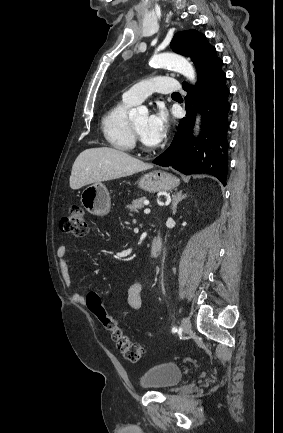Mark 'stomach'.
I'll use <instances>...</instances> for the list:
<instances>
[{
  "instance_id": "0dacf381",
  "label": "stomach",
  "mask_w": 283,
  "mask_h": 433,
  "mask_svg": "<svg viewBox=\"0 0 283 433\" xmlns=\"http://www.w3.org/2000/svg\"><path fill=\"white\" fill-rule=\"evenodd\" d=\"M179 184L178 178L164 172V170H153L141 176L138 180V186L148 192H157V190H172ZM81 202L91 214H106L109 212L111 202L110 194L102 182H93L84 188L81 194Z\"/></svg>"
}]
</instances>
